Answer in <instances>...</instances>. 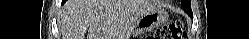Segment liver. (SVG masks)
Listing matches in <instances>:
<instances>
[{
    "instance_id": "1",
    "label": "liver",
    "mask_w": 249,
    "mask_h": 39,
    "mask_svg": "<svg viewBox=\"0 0 249 39\" xmlns=\"http://www.w3.org/2000/svg\"><path fill=\"white\" fill-rule=\"evenodd\" d=\"M159 7L155 0H73L62 26L63 39H128L135 21Z\"/></svg>"
}]
</instances>
